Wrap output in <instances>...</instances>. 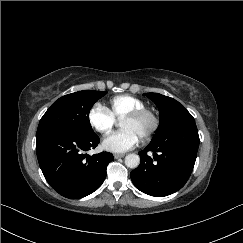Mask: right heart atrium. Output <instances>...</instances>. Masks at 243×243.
Returning <instances> with one entry per match:
<instances>
[{
  "label": "right heart atrium",
  "mask_w": 243,
  "mask_h": 243,
  "mask_svg": "<svg viewBox=\"0 0 243 243\" xmlns=\"http://www.w3.org/2000/svg\"><path fill=\"white\" fill-rule=\"evenodd\" d=\"M89 125L97 132L106 134L114 126L116 119L109 109L101 104H94L87 113Z\"/></svg>",
  "instance_id": "d8ad5b80"
}]
</instances>
